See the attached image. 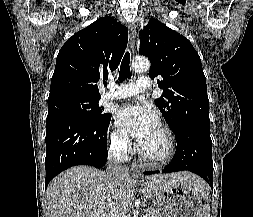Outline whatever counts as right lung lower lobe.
Returning <instances> with one entry per match:
<instances>
[{
    "mask_svg": "<svg viewBox=\"0 0 253 217\" xmlns=\"http://www.w3.org/2000/svg\"><path fill=\"white\" fill-rule=\"evenodd\" d=\"M110 120L92 123L71 118L46 125V187L57 174L71 166L101 168L106 164Z\"/></svg>",
    "mask_w": 253,
    "mask_h": 217,
    "instance_id": "right-lung-lower-lobe-1",
    "label": "right lung lower lobe"
}]
</instances>
